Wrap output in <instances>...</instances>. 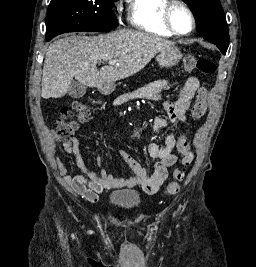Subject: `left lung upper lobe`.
<instances>
[{"label":"left lung upper lobe","instance_id":"1","mask_svg":"<svg viewBox=\"0 0 256 267\" xmlns=\"http://www.w3.org/2000/svg\"><path fill=\"white\" fill-rule=\"evenodd\" d=\"M196 18V28L203 37L225 54L229 46L226 19L219 0H183Z\"/></svg>","mask_w":256,"mask_h":267}]
</instances>
